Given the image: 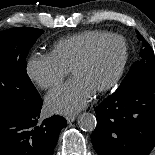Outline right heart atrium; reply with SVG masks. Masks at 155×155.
Here are the masks:
<instances>
[{"mask_svg":"<svg viewBox=\"0 0 155 155\" xmlns=\"http://www.w3.org/2000/svg\"><path fill=\"white\" fill-rule=\"evenodd\" d=\"M26 71L30 80L44 90L60 85L68 74L51 54L40 53L30 56Z\"/></svg>","mask_w":155,"mask_h":155,"instance_id":"right-heart-atrium-1","label":"right heart atrium"}]
</instances>
